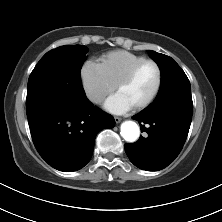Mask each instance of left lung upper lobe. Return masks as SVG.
<instances>
[{
  "label": "left lung upper lobe",
  "instance_id": "obj_1",
  "mask_svg": "<svg viewBox=\"0 0 222 222\" xmlns=\"http://www.w3.org/2000/svg\"><path fill=\"white\" fill-rule=\"evenodd\" d=\"M149 56L161 71V85L155 100L170 94L191 95L190 82L181 67L171 57L149 50Z\"/></svg>",
  "mask_w": 222,
  "mask_h": 222
}]
</instances>
